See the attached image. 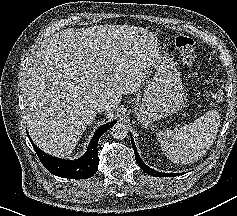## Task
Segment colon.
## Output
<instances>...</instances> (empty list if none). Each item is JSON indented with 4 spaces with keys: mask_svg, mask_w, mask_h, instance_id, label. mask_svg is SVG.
<instances>
[{
    "mask_svg": "<svg viewBox=\"0 0 237 216\" xmlns=\"http://www.w3.org/2000/svg\"><path fill=\"white\" fill-rule=\"evenodd\" d=\"M175 47L185 63L191 64L193 62L195 42L192 38L183 35L177 36L175 39ZM214 97L220 99L222 97L221 91L217 90L214 93Z\"/></svg>",
    "mask_w": 237,
    "mask_h": 216,
    "instance_id": "1",
    "label": "colon"
}]
</instances>
